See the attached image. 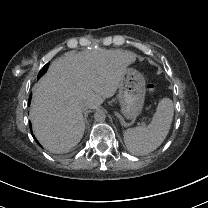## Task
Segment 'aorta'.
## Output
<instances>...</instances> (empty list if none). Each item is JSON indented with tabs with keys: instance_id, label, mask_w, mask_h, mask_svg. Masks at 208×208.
Returning <instances> with one entry per match:
<instances>
[{
	"instance_id": "762f6f07",
	"label": "aorta",
	"mask_w": 208,
	"mask_h": 208,
	"mask_svg": "<svg viewBox=\"0 0 208 208\" xmlns=\"http://www.w3.org/2000/svg\"><path fill=\"white\" fill-rule=\"evenodd\" d=\"M105 118H106V114L102 110L96 111L94 114V119L98 122H103Z\"/></svg>"
}]
</instances>
